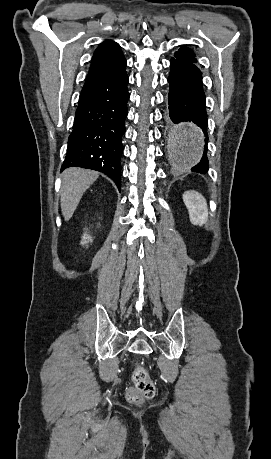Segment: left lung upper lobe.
Returning a JSON list of instances; mask_svg holds the SVG:
<instances>
[{"label": "left lung upper lobe", "mask_w": 271, "mask_h": 459, "mask_svg": "<svg viewBox=\"0 0 271 459\" xmlns=\"http://www.w3.org/2000/svg\"><path fill=\"white\" fill-rule=\"evenodd\" d=\"M175 59H183L196 63L194 52L186 46H181L180 49L175 53Z\"/></svg>", "instance_id": "obj_1"}]
</instances>
